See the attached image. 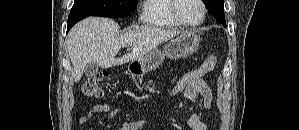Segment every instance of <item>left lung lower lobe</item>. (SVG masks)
Here are the masks:
<instances>
[{
  "label": "left lung lower lobe",
  "mask_w": 299,
  "mask_h": 130,
  "mask_svg": "<svg viewBox=\"0 0 299 130\" xmlns=\"http://www.w3.org/2000/svg\"><path fill=\"white\" fill-rule=\"evenodd\" d=\"M223 25H224V27H226V24L223 23Z\"/></svg>",
  "instance_id": "1"
}]
</instances>
